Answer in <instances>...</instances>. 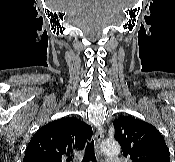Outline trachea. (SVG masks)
<instances>
[{
  "instance_id": "1",
  "label": "trachea",
  "mask_w": 175,
  "mask_h": 162,
  "mask_svg": "<svg viewBox=\"0 0 175 162\" xmlns=\"http://www.w3.org/2000/svg\"><path fill=\"white\" fill-rule=\"evenodd\" d=\"M82 162H96L94 140L87 143Z\"/></svg>"
}]
</instances>
